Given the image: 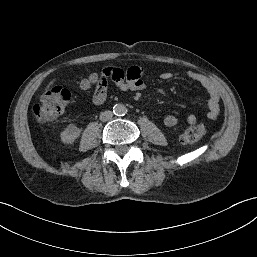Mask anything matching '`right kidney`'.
<instances>
[{
  "instance_id": "right-kidney-1",
  "label": "right kidney",
  "mask_w": 257,
  "mask_h": 257,
  "mask_svg": "<svg viewBox=\"0 0 257 257\" xmlns=\"http://www.w3.org/2000/svg\"><path fill=\"white\" fill-rule=\"evenodd\" d=\"M79 135L80 129L74 124H69L60 136L63 143L73 144Z\"/></svg>"
}]
</instances>
